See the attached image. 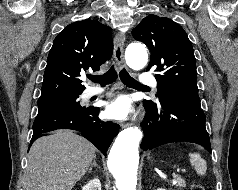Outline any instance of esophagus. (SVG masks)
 I'll use <instances>...</instances> for the list:
<instances>
[{
  "label": "esophagus",
  "instance_id": "1",
  "mask_svg": "<svg viewBox=\"0 0 238 190\" xmlns=\"http://www.w3.org/2000/svg\"><path fill=\"white\" fill-rule=\"evenodd\" d=\"M124 42H125V33L118 32L114 39V58L119 69L126 67L124 60ZM121 128H126L130 126L129 123H122Z\"/></svg>",
  "mask_w": 238,
  "mask_h": 190
}]
</instances>
